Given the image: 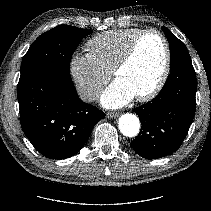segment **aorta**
<instances>
[{
  "instance_id": "1",
  "label": "aorta",
  "mask_w": 211,
  "mask_h": 211,
  "mask_svg": "<svg viewBox=\"0 0 211 211\" xmlns=\"http://www.w3.org/2000/svg\"><path fill=\"white\" fill-rule=\"evenodd\" d=\"M118 127L123 135L134 137L140 131V121L136 115L126 113L119 118Z\"/></svg>"
}]
</instances>
